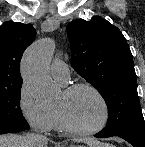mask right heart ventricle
<instances>
[{"label":"right heart ventricle","mask_w":145,"mask_h":147,"mask_svg":"<svg viewBox=\"0 0 145 147\" xmlns=\"http://www.w3.org/2000/svg\"><path fill=\"white\" fill-rule=\"evenodd\" d=\"M54 127L57 128V129H60V126H59L55 112H54Z\"/></svg>","instance_id":"e07e8e85"}]
</instances>
